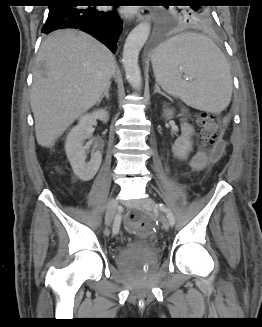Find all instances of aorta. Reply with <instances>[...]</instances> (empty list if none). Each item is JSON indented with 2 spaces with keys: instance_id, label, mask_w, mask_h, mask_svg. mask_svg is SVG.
<instances>
[{
  "instance_id": "1",
  "label": "aorta",
  "mask_w": 262,
  "mask_h": 327,
  "mask_svg": "<svg viewBox=\"0 0 262 327\" xmlns=\"http://www.w3.org/2000/svg\"><path fill=\"white\" fill-rule=\"evenodd\" d=\"M150 34L148 23L138 24L128 35L123 48L122 63L126 79L137 90L141 89L142 76L138 65L139 53Z\"/></svg>"
}]
</instances>
